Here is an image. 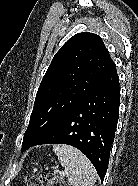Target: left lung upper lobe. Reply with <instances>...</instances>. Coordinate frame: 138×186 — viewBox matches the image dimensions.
<instances>
[{
  "mask_svg": "<svg viewBox=\"0 0 138 186\" xmlns=\"http://www.w3.org/2000/svg\"><path fill=\"white\" fill-rule=\"evenodd\" d=\"M115 68L102 39L83 32L56 53L37 91L23 148L63 120Z\"/></svg>",
  "mask_w": 138,
  "mask_h": 186,
  "instance_id": "left-lung-upper-lobe-1",
  "label": "left lung upper lobe"
}]
</instances>
